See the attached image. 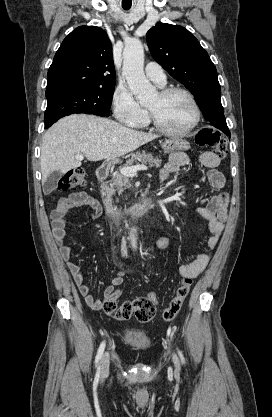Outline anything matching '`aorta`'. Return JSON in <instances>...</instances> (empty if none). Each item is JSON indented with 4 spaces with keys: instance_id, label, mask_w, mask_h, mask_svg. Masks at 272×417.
Returning a JSON list of instances; mask_svg holds the SVG:
<instances>
[{
    "instance_id": "1",
    "label": "aorta",
    "mask_w": 272,
    "mask_h": 417,
    "mask_svg": "<svg viewBox=\"0 0 272 417\" xmlns=\"http://www.w3.org/2000/svg\"><path fill=\"white\" fill-rule=\"evenodd\" d=\"M123 75L126 78L131 92L143 106L152 102L156 95V88L151 85L144 74V48L141 41L130 39L126 42L123 51ZM131 246L137 248L134 232L130 235Z\"/></svg>"
}]
</instances>
